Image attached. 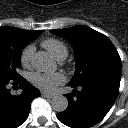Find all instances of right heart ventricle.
Returning a JSON list of instances; mask_svg holds the SVG:
<instances>
[{"instance_id": "1", "label": "right heart ventricle", "mask_w": 128, "mask_h": 128, "mask_svg": "<svg viewBox=\"0 0 128 128\" xmlns=\"http://www.w3.org/2000/svg\"><path fill=\"white\" fill-rule=\"evenodd\" d=\"M42 46L57 60L62 61L68 55L67 46L59 39L49 38L42 42Z\"/></svg>"}]
</instances>
